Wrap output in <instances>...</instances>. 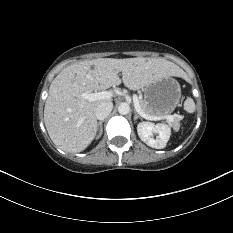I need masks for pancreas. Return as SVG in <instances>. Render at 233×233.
<instances>
[{
	"mask_svg": "<svg viewBox=\"0 0 233 233\" xmlns=\"http://www.w3.org/2000/svg\"><path fill=\"white\" fill-rule=\"evenodd\" d=\"M139 105L145 114L150 115V116L153 115L152 112L148 109V106L143 99H139ZM172 126L176 130L180 127V120L178 117L174 118V121L172 122Z\"/></svg>",
	"mask_w": 233,
	"mask_h": 233,
	"instance_id": "pancreas-1",
	"label": "pancreas"
}]
</instances>
